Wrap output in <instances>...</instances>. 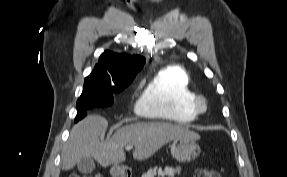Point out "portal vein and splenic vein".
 I'll return each mask as SVG.
<instances>
[{
	"label": "portal vein and splenic vein",
	"mask_w": 287,
	"mask_h": 177,
	"mask_svg": "<svg viewBox=\"0 0 287 177\" xmlns=\"http://www.w3.org/2000/svg\"><path fill=\"white\" fill-rule=\"evenodd\" d=\"M131 148H132L131 145H128V146L125 147L126 150H130Z\"/></svg>",
	"instance_id": "1"
}]
</instances>
